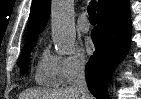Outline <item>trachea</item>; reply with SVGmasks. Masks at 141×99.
I'll use <instances>...</instances> for the list:
<instances>
[{"label":"trachea","instance_id":"obj_1","mask_svg":"<svg viewBox=\"0 0 141 99\" xmlns=\"http://www.w3.org/2000/svg\"><path fill=\"white\" fill-rule=\"evenodd\" d=\"M96 9H97V2L91 1L87 8V12H88L90 21H96Z\"/></svg>","mask_w":141,"mask_h":99}]
</instances>
